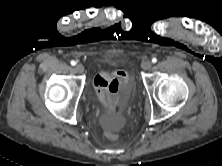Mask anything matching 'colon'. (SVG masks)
<instances>
[{"label": "colon", "instance_id": "obj_1", "mask_svg": "<svg viewBox=\"0 0 222 166\" xmlns=\"http://www.w3.org/2000/svg\"><path fill=\"white\" fill-rule=\"evenodd\" d=\"M107 137L112 140H115V139H117L118 136H117V134L109 131V132H107Z\"/></svg>", "mask_w": 222, "mask_h": 166}]
</instances>
